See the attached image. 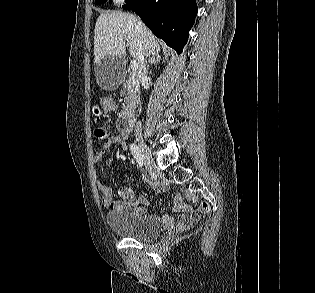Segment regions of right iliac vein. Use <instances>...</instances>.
I'll return each instance as SVG.
<instances>
[{"instance_id": "63e3f726", "label": "right iliac vein", "mask_w": 315, "mask_h": 293, "mask_svg": "<svg viewBox=\"0 0 315 293\" xmlns=\"http://www.w3.org/2000/svg\"><path fill=\"white\" fill-rule=\"evenodd\" d=\"M137 141H138L139 148L142 151V154H143V157H144V160H145V163L147 165L149 172H153L155 169V163L153 161V158L151 156V153L147 144L142 138H138Z\"/></svg>"}]
</instances>
